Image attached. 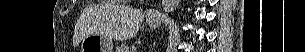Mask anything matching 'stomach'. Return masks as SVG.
Returning a JSON list of instances; mask_svg holds the SVG:
<instances>
[{
	"label": "stomach",
	"instance_id": "stomach-1",
	"mask_svg": "<svg viewBox=\"0 0 305 52\" xmlns=\"http://www.w3.org/2000/svg\"><path fill=\"white\" fill-rule=\"evenodd\" d=\"M151 27H157L159 20L148 22ZM80 52H114L112 39L99 34L84 37L80 44Z\"/></svg>",
	"mask_w": 305,
	"mask_h": 52
}]
</instances>
